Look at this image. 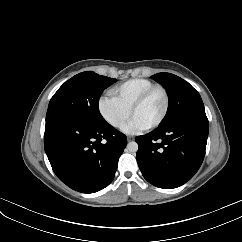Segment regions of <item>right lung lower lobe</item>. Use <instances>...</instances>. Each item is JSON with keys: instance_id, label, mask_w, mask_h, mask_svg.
Returning a JSON list of instances; mask_svg holds the SVG:
<instances>
[{"instance_id": "right-lung-lower-lobe-1", "label": "right lung lower lobe", "mask_w": 242, "mask_h": 242, "mask_svg": "<svg viewBox=\"0 0 242 242\" xmlns=\"http://www.w3.org/2000/svg\"><path fill=\"white\" fill-rule=\"evenodd\" d=\"M126 144V136L107 122L60 119L45 125V152L53 171L82 193L100 191L112 182Z\"/></svg>"}]
</instances>
